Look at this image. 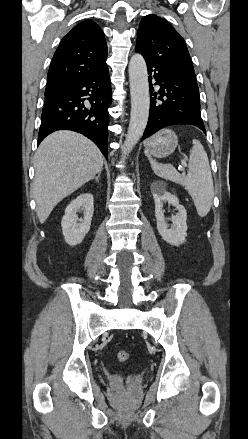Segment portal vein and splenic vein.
<instances>
[{
	"mask_svg": "<svg viewBox=\"0 0 248 439\" xmlns=\"http://www.w3.org/2000/svg\"><path fill=\"white\" fill-rule=\"evenodd\" d=\"M179 170H180V171H183L184 169H183V167H182V166H180V167H179Z\"/></svg>",
	"mask_w": 248,
	"mask_h": 439,
	"instance_id": "18ae733b",
	"label": "portal vein and splenic vein"
}]
</instances>
